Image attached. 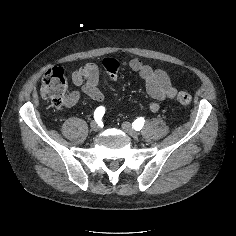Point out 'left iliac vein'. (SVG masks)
<instances>
[{"mask_svg": "<svg viewBox=\"0 0 236 236\" xmlns=\"http://www.w3.org/2000/svg\"><path fill=\"white\" fill-rule=\"evenodd\" d=\"M122 129L129 134L130 136H132L133 138H137L139 136V132H137L131 125V123L129 122H123L122 123Z\"/></svg>", "mask_w": 236, "mask_h": 236, "instance_id": "4c4485c4", "label": "left iliac vein"}]
</instances>
